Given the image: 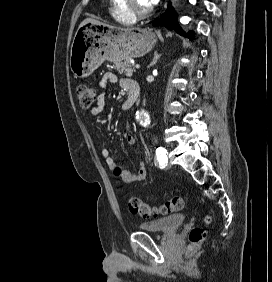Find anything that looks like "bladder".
Wrapping results in <instances>:
<instances>
[{"mask_svg":"<svg viewBox=\"0 0 272 282\" xmlns=\"http://www.w3.org/2000/svg\"><path fill=\"white\" fill-rule=\"evenodd\" d=\"M186 218L185 214H174L155 221L141 223L138 228L144 232L169 233L180 227Z\"/></svg>","mask_w":272,"mask_h":282,"instance_id":"obj_1","label":"bladder"}]
</instances>
